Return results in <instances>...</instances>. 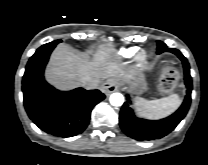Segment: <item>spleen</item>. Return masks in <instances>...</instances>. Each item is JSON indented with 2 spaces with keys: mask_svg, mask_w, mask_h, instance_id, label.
I'll list each match as a JSON object with an SVG mask.
<instances>
[{
  "mask_svg": "<svg viewBox=\"0 0 208 165\" xmlns=\"http://www.w3.org/2000/svg\"><path fill=\"white\" fill-rule=\"evenodd\" d=\"M181 102L182 100L177 94L155 100L135 98V106L139 115L150 119H160L172 114L178 109Z\"/></svg>",
  "mask_w": 208,
  "mask_h": 165,
  "instance_id": "spleen-1",
  "label": "spleen"
}]
</instances>
